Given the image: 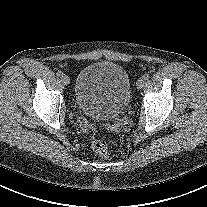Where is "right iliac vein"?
I'll list each match as a JSON object with an SVG mask.
<instances>
[{
    "label": "right iliac vein",
    "instance_id": "obj_1",
    "mask_svg": "<svg viewBox=\"0 0 207 207\" xmlns=\"http://www.w3.org/2000/svg\"><path fill=\"white\" fill-rule=\"evenodd\" d=\"M60 78L63 84L68 85L70 83L69 77L65 74H63Z\"/></svg>",
    "mask_w": 207,
    "mask_h": 207
}]
</instances>
